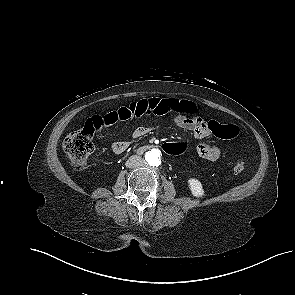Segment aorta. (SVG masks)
Listing matches in <instances>:
<instances>
[{
    "mask_svg": "<svg viewBox=\"0 0 295 295\" xmlns=\"http://www.w3.org/2000/svg\"><path fill=\"white\" fill-rule=\"evenodd\" d=\"M145 160L151 166H159L161 164V152L158 149H152L145 154Z\"/></svg>",
    "mask_w": 295,
    "mask_h": 295,
    "instance_id": "obj_1",
    "label": "aorta"
}]
</instances>
